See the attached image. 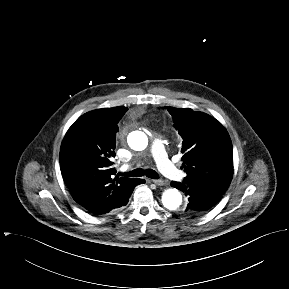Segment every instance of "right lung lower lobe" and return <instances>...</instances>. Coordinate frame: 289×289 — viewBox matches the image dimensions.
Wrapping results in <instances>:
<instances>
[{
	"instance_id": "obj_1",
	"label": "right lung lower lobe",
	"mask_w": 289,
	"mask_h": 289,
	"mask_svg": "<svg viewBox=\"0 0 289 289\" xmlns=\"http://www.w3.org/2000/svg\"><path fill=\"white\" fill-rule=\"evenodd\" d=\"M141 183H144V180H143V179H139L138 184H141Z\"/></svg>"
}]
</instances>
